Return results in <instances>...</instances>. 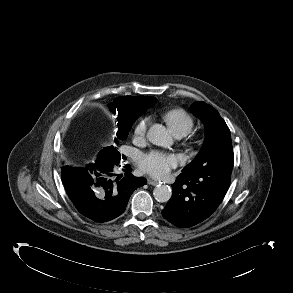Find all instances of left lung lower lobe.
I'll use <instances>...</instances> for the list:
<instances>
[{"mask_svg":"<svg viewBox=\"0 0 293 293\" xmlns=\"http://www.w3.org/2000/svg\"><path fill=\"white\" fill-rule=\"evenodd\" d=\"M231 170L182 172L162 215L177 227H191L208 218L222 202Z\"/></svg>","mask_w":293,"mask_h":293,"instance_id":"1","label":"left lung lower lobe"}]
</instances>
